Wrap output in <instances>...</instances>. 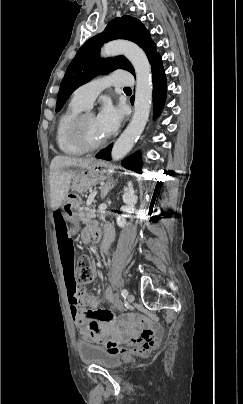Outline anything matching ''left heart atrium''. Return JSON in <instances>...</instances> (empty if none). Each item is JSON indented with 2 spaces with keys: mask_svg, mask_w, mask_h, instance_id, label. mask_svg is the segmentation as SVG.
I'll use <instances>...</instances> for the list:
<instances>
[{
  "mask_svg": "<svg viewBox=\"0 0 243 404\" xmlns=\"http://www.w3.org/2000/svg\"><path fill=\"white\" fill-rule=\"evenodd\" d=\"M96 127L102 139L110 137L117 130L120 122L119 111L106 101L103 103L99 113L95 116Z\"/></svg>",
  "mask_w": 243,
  "mask_h": 404,
  "instance_id": "1",
  "label": "left heart atrium"
}]
</instances>
